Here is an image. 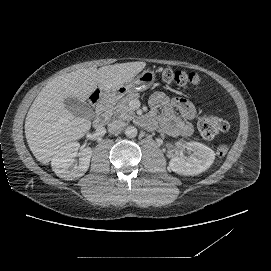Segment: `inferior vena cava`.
<instances>
[{
	"label": "inferior vena cava",
	"mask_w": 271,
	"mask_h": 271,
	"mask_svg": "<svg viewBox=\"0 0 271 271\" xmlns=\"http://www.w3.org/2000/svg\"><path fill=\"white\" fill-rule=\"evenodd\" d=\"M126 126V123L121 119H112L108 123V131L113 134L120 133L124 127Z\"/></svg>",
	"instance_id": "inferior-vena-cava-1"
}]
</instances>
